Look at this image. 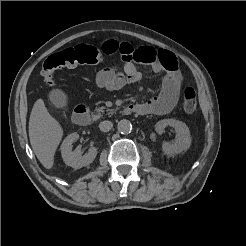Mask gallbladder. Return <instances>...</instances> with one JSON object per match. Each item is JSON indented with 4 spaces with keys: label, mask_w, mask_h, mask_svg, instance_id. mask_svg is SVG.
<instances>
[{
    "label": "gallbladder",
    "mask_w": 246,
    "mask_h": 246,
    "mask_svg": "<svg viewBox=\"0 0 246 246\" xmlns=\"http://www.w3.org/2000/svg\"><path fill=\"white\" fill-rule=\"evenodd\" d=\"M49 100L56 108H64L67 106V96L60 89H54L49 93Z\"/></svg>",
    "instance_id": "gallbladder-1"
}]
</instances>
